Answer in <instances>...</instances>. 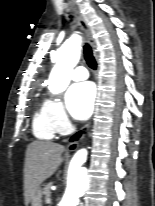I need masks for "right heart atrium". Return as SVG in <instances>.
<instances>
[{
  "instance_id": "right-heart-atrium-1",
  "label": "right heart atrium",
  "mask_w": 155,
  "mask_h": 206,
  "mask_svg": "<svg viewBox=\"0 0 155 206\" xmlns=\"http://www.w3.org/2000/svg\"><path fill=\"white\" fill-rule=\"evenodd\" d=\"M43 107L56 133H65L70 129V120L61 101L49 98L44 102Z\"/></svg>"
}]
</instances>
